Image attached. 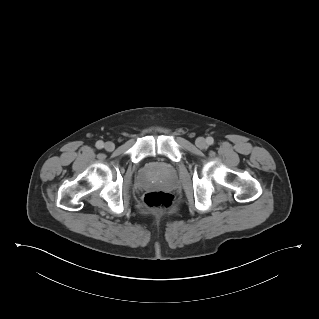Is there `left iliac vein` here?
<instances>
[{
	"label": "left iliac vein",
	"mask_w": 319,
	"mask_h": 319,
	"mask_svg": "<svg viewBox=\"0 0 319 319\" xmlns=\"http://www.w3.org/2000/svg\"><path fill=\"white\" fill-rule=\"evenodd\" d=\"M195 144L200 149H204L207 147V142L203 137H198L195 141Z\"/></svg>",
	"instance_id": "1"
}]
</instances>
